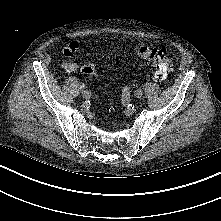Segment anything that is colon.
<instances>
[{"label": "colon", "mask_w": 221, "mask_h": 221, "mask_svg": "<svg viewBox=\"0 0 221 221\" xmlns=\"http://www.w3.org/2000/svg\"><path fill=\"white\" fill-rule=\"evenodd\" d=\"M136 55L154 70V79L157 81L164 80L172 70L173 62L162 49H151L146 45H142L137 48ZM82 72L92 78L97 76L96 70L91 64L84 65Z\"/></svg>", "instance_id": "1"}]
</instances>
